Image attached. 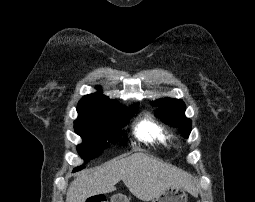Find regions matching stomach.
<instances>
[{
  "instance_id": "stomach-1",
  "label": "stomach",
  "mask_w": 255,
  "mask_h": 202,
  "mask_svg": "<svg viewBox=\"0 0 255 202\" xmlns=\"http://www.w3.org/2000/svg\"><path fill=\"white\" fill-rule=\"evenodd\" d=\"M111 202H129V200L126 196L117 194L112 196ZM153 202H188V195L185 189L172 186L160 193Z\"/></svg>"
}]
</instances>
